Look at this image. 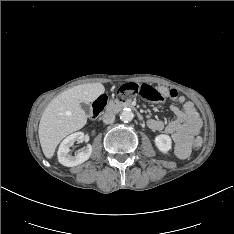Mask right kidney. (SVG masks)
<instances>
[{
    "label": "right kidney",
    "mask_w": 234,
    "mask_h": 234,
    "mask_svg": "<svg viewBox=\"0 0 234 234\" xmlns=\"http://www.w3.org/2000/svg\"><path fill=\"white\" fill-rule=\"evenodd\" d=\"M86 139L83 132H75L68 137H66L59 146L58 149V161L67 167L77 166L89 159L92 153V146L87 145L82 148L78 152L75 153L74 156L70 155V147L74 144V142L84 141Z\"/></svg>",
    "instance_id": "ca27d5eb"
}]
</instances>
